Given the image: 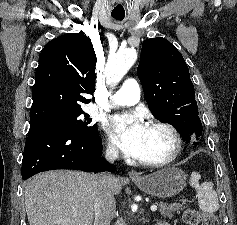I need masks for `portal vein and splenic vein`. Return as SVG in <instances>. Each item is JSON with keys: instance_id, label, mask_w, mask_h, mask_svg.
Masks as SVG:
<instances>
[{"instance_id": "portal-vein-and-splenic-vein-1", "label": "portal vein and splenic vein", "mask_w": 237, "mask_h": 225, "mask_svg": "<svg viewBox=\"0 0 237 225\" xmlns=\"http://www.w3.org/2000/svg\"><path fill=\"white\" fill-rule=\"evenodd\" d=\"M157 208H158V207H157L156 205H152V206H151V211H152V212H155V211H157Z\"/></svg>"}]
</instances>
